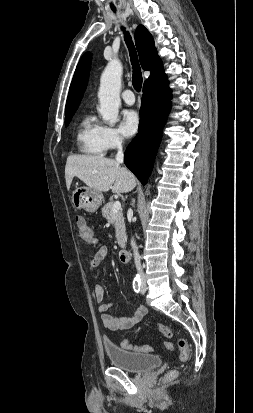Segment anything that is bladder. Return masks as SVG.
Returning <instances> with one entry per match:
<instances>
[{
  "label": "bladder",
  "mask_w": 253,
  "mask_h": 413,
  "mask_svg": "<svg viewBox=\"0 0 253 413\" xmlns=\"http://www.w3.org/2000/svg\"><path fill=\"white\" fill-rule=\"evenodd\" d=\"M104 351L110 363L129 372H142L161 365V358L156 354L129 351L112 342H104Z\"/></svg>",
  "instance_id": "31cf9c89"
}]
</instances>
